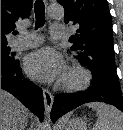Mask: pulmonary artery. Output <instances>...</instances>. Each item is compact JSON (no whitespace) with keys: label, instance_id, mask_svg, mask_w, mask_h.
I'll return each mask as SVG.
<instances>
[{"label":"pulmonary artery","instance_id":"e3ab8cb5","mask_svg":"<svg viewBox=\"0 0 123 130\" xmlns=\"http://www.w3.org/2000/svg\"><path fill=\"white\" fill-rule=\"evenodd\" d=\"M50 35L54 39H62L65 36V27L61 24H52L50 28ZM42 42V37L36 34H26L11 43L14 50H23L35 47Z\"/></svg>","mask_w":123,"mask_h":130}]
</instances>
